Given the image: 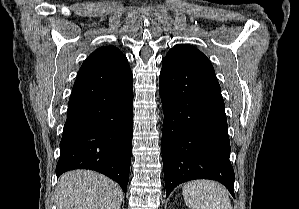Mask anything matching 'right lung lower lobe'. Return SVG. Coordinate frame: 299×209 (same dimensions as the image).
<instances>
[{"instance_id": "98d812e1", "label": "right lung lower lobe", "mask_w": 299, "mask_h": 209, "mask_svg": "<svg viewBox=\"0 0 299 209\" xmlns=\"http://www.w3.org/2000/svg\"><path fill=\"white\" fill-rule=\"evenodd\" d=\"M132 73L78 72L68 103L56 174L98 171L126 193L132 145Z\"/></svg>"}]
</instances>
